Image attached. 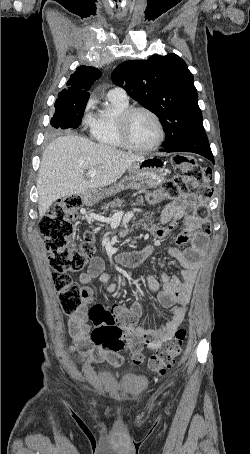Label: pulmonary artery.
Wrapping results in <instances>:
<instances>
[{"instance_id":"obj_1","label":"pulmonary artery","mask_w":250,"mask_h":454,"mask_svg":"<svg viewBox=\"0 0 250 454\" xmlns=\"http://www.w3.org/2000/svg\"><path fill=\"white\" fill-rule=\"evenodd\" d=\"M108 98L115 99L124 103L128 102V95L121 87H115L108 92Z\"/></svg>"}]
</instances>
